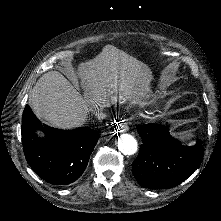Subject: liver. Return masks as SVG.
<instances>
[{"mask_svg":"<svg viewBox=\"0 0 221 221\" xmlns=\"http://www.w3.org/2000/svg\"><path fill=\"white\" fill-rule=\"evenodd\" d=\"M112 49L106 45L91 61L77 65L83 95L60 72L44 73L29 96L34 114L55 128L72 130L84 126L91 109L97 105L113 106L117 101L133 100L131 94H135V79L140 73L114 61ZM39 132L35 129L37 136H41Z\"/></svg>","mask_w":221,"mask_h":221,"instance_id":"liver-1","label":"liver"}]
</instances>
